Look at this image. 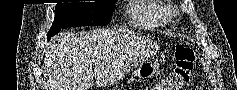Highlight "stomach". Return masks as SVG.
<instances>
[{
	"label": "stomach",
	"instance_id": "0dacf381",
	"mask_svg": "<svg viewBox=\"0 0 237 90\" xmlns=\"http://www.w3.org/2000/svg\"><path fill=\"white\" fill-rule=\"evenodd\" d=\"M157 71V65L152 62H144L134 71V75L139 79L147 80L154 76Z\"/></svg>",
	"mask_w": 237,
	"mask_h": 90
}]
</instances>
